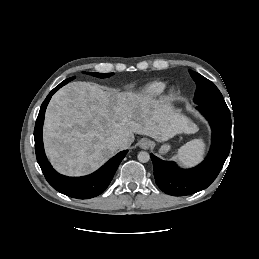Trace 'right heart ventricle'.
Segmentation results:
<instances>
[{"mask_svg":"<svg viewBox=\"0 0 259 259\" xmlns=\"http://www.w3.org/2000/svg\"><path fill=\"white\" fill-rule=\"evenodd\" d=\"M166 84L162 81L155 80L143 86L138 93V100L141 103H150L159 98L165 91Z\"/></svg>","mask_w":259,"mask_h":259,"instance_id":"right-heart-ventricle-1","label":"right heart ventricle"}]
</instances>
